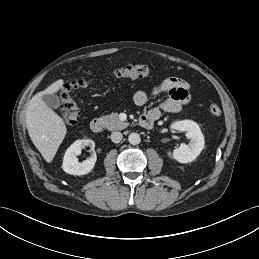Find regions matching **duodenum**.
<instances>
[{
    "label": "duodenum",
    "instance_id": "410a0bca",
    "mask_svg": "<svg viewBox=\"0 0 259 259\" xmlns=\"http://www.w3.org/2000/svg\"><path fill=\"white\" fill-rule=\"evenodd\" d=\"M155 120L149 116L142 115L140 118V124L143 127H149L153 124ZM104 127L103 121L100 118H94L92 119L90 123V128L93 132L99 133L102 131Z\"/></svg>",
    "mask_w": 259,
    "mask_h": 259
}]
</instances>
